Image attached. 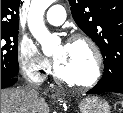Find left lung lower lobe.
<instances>
[{"label":"left lung lower lobe","instance_id":"0a47b994","mask_svg":"<svg viewBox=\"0 0 123 113\" xmlns=\"http://www.w3.org/2000/svg\"><path fill=\"white\" fill-rule=\"evenodd\" d=\"M105 92L123 93V79L117 81L112 86H107L98 82L94 88L87 92V94H101Z\"/></svg>","mask_w":123,"mask_h":113}]
</instances>
